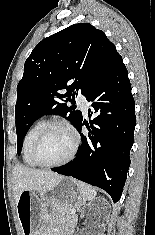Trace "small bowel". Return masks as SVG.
I'll return each instance as SVG.
<instances>
[{"label":"small bowel","instance_id":"1","mask_svg":"<svg viewBox=\"0 0 155 235\" xmlns=\"http://www.w3.org/2000/svg\"><path fill=\"white\" fill-rule=\"evenodd\" d=\"M69 229H60L49 233L48 235H70Z\"/></svg>","mask_w":155,"mask_h":235}]
</instances>
